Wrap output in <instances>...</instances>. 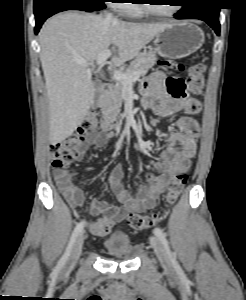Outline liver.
<instances>
[{
  "mask_svg": "<svg viewBox=\"0 0 246 300\" xmlns=\"http://www.w3.org/2000/svg\"><path fill=\"white\" fill-rule=\"evenodd\" d=\"M169 24L130 23L76 11L58 14L39 33L40 61L50 109V143L64 141L80 126L94 100L92 69L106 50L111 63L120 66L139 55Z\"/></svg>",
  "mask_w": 246,
  "mask_h": 300,
  "instance_id": "liver-1",
  "label": "liver"
}]
</instances>
